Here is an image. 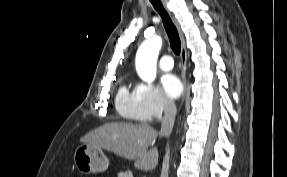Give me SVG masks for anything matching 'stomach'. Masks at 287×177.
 I'll use <instances>...</instances> for the list:
<instances>
[{
    "label": "stomach",
    "mask_w": 287,
    "mask_h": 177,
    "mask_svg": "<svg viewBox=\"0 0 287 177\" xmlns=\"http://www.w3.org/2000/svg\"><path fill=\"white\" fill-rule=\"evenodd\" d=\"M74 163L82 174L104 172L109 166V160L102 148L86 143L75 150Z\"/></svg>",
    "instance_id": "1"
}]
</instances>
